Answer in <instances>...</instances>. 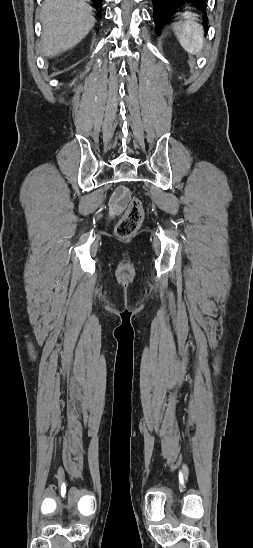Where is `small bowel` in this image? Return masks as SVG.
Listing matches in <instances>:
<instances>
[{
  "label": "small bowel",
  "mask_w": 253,
  "mask_h": 548,
  "mask_svg": "<svg viewBox=\"0 0 253 548\" xmlns=\"http://www.w3.org/2000/svg\"><path fill=\"white\" fill-rule=\"evenodd\" d=\"M129 190L125 186H119L115 189L110 202H109V212L112 216L119 215L128 202Z\"/></svg>",
  "instance_id": "c3829d8e"
}]
</instances>
